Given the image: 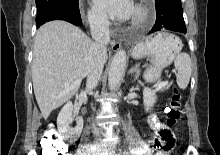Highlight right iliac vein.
<instances>
[{
  "instance_id": "right-iliac-vein-1",
  "label": "right iliac vein",
  "mask_w": 220,
  "mask_h": 155,
  "mask_svg": "<svg viewBox=\"0 0 220 155\" xmlns=\"http://www.w3.org/2000/svg\"><path fill=\"white\" fill-rule=\"evenodd\" d=\"M92 155H99V153H92Z\"/></svg>"
}]
</instances>
